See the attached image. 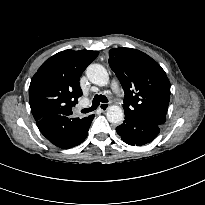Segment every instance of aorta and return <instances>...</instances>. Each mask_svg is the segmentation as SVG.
Returning <instances> with one entry per match:
<instances>
[{
	"label": "aorta",
	"instance_id": "762f6f07",
	"mask_svg": "<svg viewBox=\"0 0 205 205\" xmlns=\"http://www.w3.org/2000/svg\"><path fill=\"white\" fill-rule=\"evenodd\" d=\"M86 75L89 81L98 86H106L109 83L107 70L100 64H90L86 69ZM110 123L120 124L124 120V112L121 107L111 105L106 112Z\"/></svg>",
	"mask_w": 205,
	"mask_h": 205
}]
</instances>
